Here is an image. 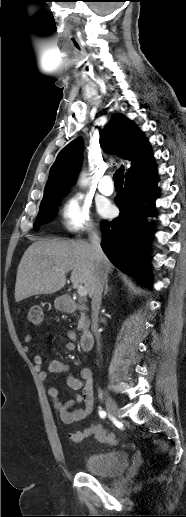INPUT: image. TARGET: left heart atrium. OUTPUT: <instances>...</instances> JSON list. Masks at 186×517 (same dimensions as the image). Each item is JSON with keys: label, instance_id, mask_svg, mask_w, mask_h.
Listing matches in <instances>:
<instances>
[{"label": "left heart atrium", "instance_id": "left-heart-atrium-1", "mask_svg": "<svg viewBox=\"0 0 186 517\" xmlns=\"http://www.w3.org/2000/svg\"><path fill=\"white\" fill-rule=\"evenodd\" d=\"M99 212L104 217H109L113 214V206L109 202H102L99 205Z\"/></svg>", "mask_w": 186, "mask_h": 517}]
</instances>
